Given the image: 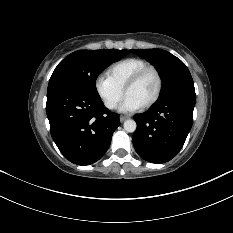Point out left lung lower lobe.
I'll return each instance as SVG.
<instances>
[{
	"mask_svg": "<svg viewBox=\"0 0 233 233\" xmlns=\"http://www.w3.org/2000/svg\"><path fill=\"white\" fill-rule=\"evenodd\" d=\"M195 96L176 94L134 116L137 130L133 145L138 155L151 163H165L181 150L193 122Z\"/></svg>",
	"mask_w": 233,
	"mask_h": 233,
	"instance_id": "0a47b994",
	"label": "left lung lower lobe"
}]
</instances>
